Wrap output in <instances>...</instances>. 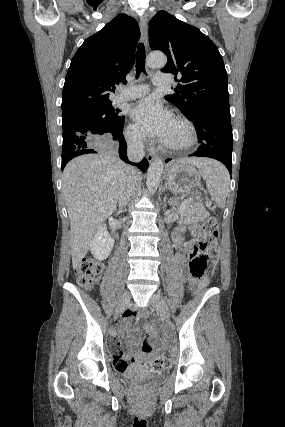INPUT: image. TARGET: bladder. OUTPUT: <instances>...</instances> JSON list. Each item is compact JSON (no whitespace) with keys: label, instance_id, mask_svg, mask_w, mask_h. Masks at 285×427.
<instances>
[{"label":"bladder","instance_id":"bladder-1","mask_svg":"<svg viewBox=\"0 0 285 427\" xmlns=\"http://www.w3.org/2000/svg\"><path fill=\"white\" fill-rule=\"evenodd\" d=\"M128 383H137L143 380L162 382L166 380L167 373L162 370L148 371L137 365H130L124 370H117Z\"/></svg>","mask_w":285,"mask_h":427}]
</instances>
